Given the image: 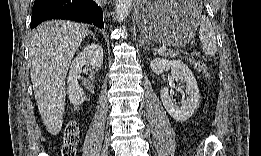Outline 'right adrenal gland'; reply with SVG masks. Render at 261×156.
Masks as SVG:
<instances>
[{"label":"right adrenal gland","mask_w":261,"mask_h":156,"mask_svg":"<svg viewBox=\"0 0 261 156\" xmlns=\"http://www.w3.org/2000/svg\"><path fill=\"white\" fill-rule=\"evenodd\" d=\"M90 35H92V36H93V38H94V39H96V37H95V35H94L93 33H91V32H90Z\"/></svg>","instance_id":"right-adrenal-gland-1"}]
</instances>
